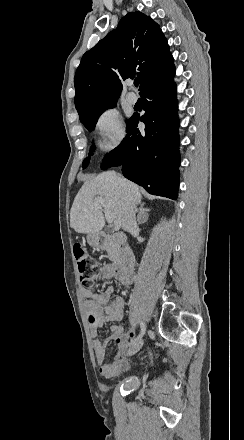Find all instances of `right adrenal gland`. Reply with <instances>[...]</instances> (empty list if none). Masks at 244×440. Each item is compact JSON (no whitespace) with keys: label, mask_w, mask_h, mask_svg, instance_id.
Returning a JSON list of instances; mask_svg holds the SVG:
<instances>
[{"label":"right adrenal gland","mask_w":244,"mask_h":440,"mask_svg":"<svg viewBox=\"0 0 244 440\" xmlns=\"http://www.w3.org/2000/svg\"><path fill=\"white\" fill-rule=\"evenodd\" d=\"M135 212L138 214V224H143V222H140L139 216H141V214H147V212H150V210H148V208H144V204H140V208H136Z\"/></svg>","instance_id":"2a0ac1e0"}]
</instances>
